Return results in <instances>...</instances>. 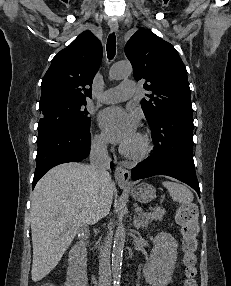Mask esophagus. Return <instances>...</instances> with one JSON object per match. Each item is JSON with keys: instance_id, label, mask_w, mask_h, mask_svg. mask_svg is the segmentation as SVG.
Instances as JSON below:
<instances>
[{"instance_id": "34e87169", "label": "esophagus", "mask_w": 231, "mask_h": 286, "mask_svg": "<svg viewBox=\"0 0 231 286\" xmlns=\"http://www.w3.org/2000/svg\"><path fill=\"white\" fill-rule=\"evenodd\" d=\"M109 28L112 32H116L118 30V23L115 20H111L108 23ZM115 180L119 186H127L129 185L130 173L124 167L118 165L115 168Z\"/></svg>"}]
</instances>
